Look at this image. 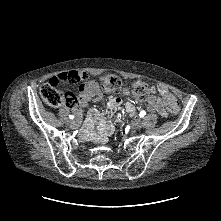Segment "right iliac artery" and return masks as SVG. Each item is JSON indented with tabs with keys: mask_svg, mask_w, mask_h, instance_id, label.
Here are the masks:
<instances>
[{
	"mask_svg": "<svg viewBox=\"0 0 221 221\" xmlns=\"http://www.w3.org/2000/svg\"><path fill=\"white\" fill-rule=\"evenodd\" d=\"M69 118H70V119H74V116H73V115H69Z\"/></svg>",
	"mask_w": 221,
	"mask_h": 221,
	"instance_id": "82829eb1",
	"label": "right iliac artery"
}]
</instances>
